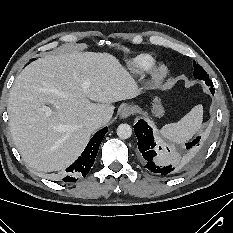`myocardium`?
Segmentation results:
<instances>
[{
  "instance_id": "1",
  "label": "myocardium",
  "mask_w": 233,
  "mask_h": 233,
  "mask_svg": "<svg viewBox=\"0 0 233 233\" xmlns=\"http://www.w3.org/2000/svg\"><path fill=\"white\" fill-rule=\"evenodd\" d=\"M168 73V67L164 63H160L151 70L152 81L154 83H159L167 77Z\"/></svg>"
}]
</instances>
